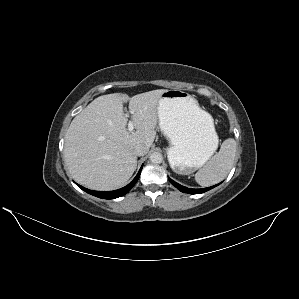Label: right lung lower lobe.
Returning <instances> with one entry per match:
<instances>
[{
  "mask_svg": "<svg viewBox=\"0 0 299 299\" xmlns=\"http://www.w3.org/2000/svg\"><path fill=\"white\" fill-rule=\"evenodd\" d=\"M142 167L140 168L138 174L136 175V177L132 180L131 183H129L127 186L115 190V191H93V190H89L86 189L80 185H78L82 190H84L85 192L94 195L96 197L102 198V199H115L118 197H121L123 195H125L126 193H128L130 191V189L135 185V183L137 182V180L139 179L140 173H141Z\"/></svg>",
  "mask_w": 299,
  "mask_h": 299,
  "instance_id": "right-lung-lower-lobe-1",
  "label": "right lung lower lobe"
}]
</instances>
